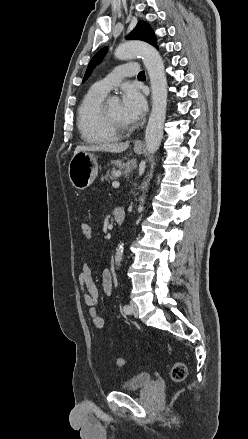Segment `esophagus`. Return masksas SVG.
<instances>
[{"label":"esophagus","instance_id":"esophagus-1","mask_svg":"<svg viewBox=\"0 0 248 439\" xmlns=\"http://www.w3.org/2000/svg\"><path fill=\"white\" fill-rule=\"evenodd\" d=\"M142 145H143L142 142H136V143H135V147H136V148H141Z\"/></svg>","mask_w":248,"mask_h":439}]
</instances>
